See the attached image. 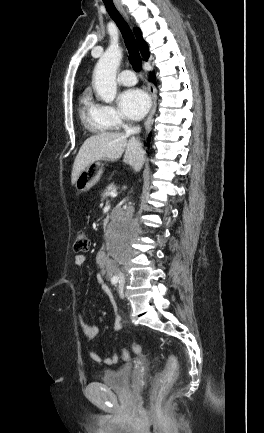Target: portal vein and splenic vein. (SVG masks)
Segmentation results:
<instances>
[{
    "instance_id": "18ae733b",
    "label": "portal vein and splenic vein",
    "mask_w": 264,
    "mask_h": 433,
    "mask_svg": "<svg viewBox=\"0 0 264 433\" xmlns=\"http://www.w3.org/2000/svg\"><path fill=\"white\" fill-rule=\"evenodd\" d=\"M111 196L114 198L117 196V192H111Z\"/></svg>"
}]
</instances>
